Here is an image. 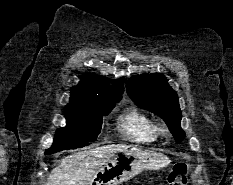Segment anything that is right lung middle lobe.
I'll list each match as a JSON object with an SVG mask.
<instances>
[{
  "label": "right lung middle lobe",
  "instance_id": "dd1d6c3e",
  "mask_svg": "<svg viewBox=\"0 0 233 185\" xmlns=\"http://www.w3.org/2000/svg\"><path fill=\"white\" fill-rule=\"evenodd\" d=\"M118 101L102 102L90 106L67 105L66 127L59 128L52 146L45 155L66 149H76L96 140L101 131L102 118L108 115Z\"/></svg>",
  "mask_w": 233,
  "mask_h": 185
}]
</instances>
